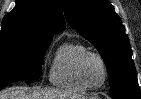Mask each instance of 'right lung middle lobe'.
<instances>
[{
    "instance_id": "right-lung-middle-lobe-1",
    "label": "right lung middle lobe",
    "mask_w": 141,
    "mask_h": 99,
    "mask_svg": "<svg viewBox=\"0 0 141 99\" xmlns=\"http://www.w3.org/2000/svg\"><path fill=\"white\" fill-rule=\"evenodd\" d=\"M49 43L29 37H0V90L15 81L38 78Z\"/></svg>"
}]
</instances>
